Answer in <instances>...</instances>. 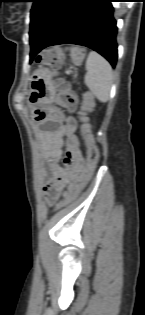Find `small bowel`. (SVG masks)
Returning a JSON list of instances; mask_svg holds the SVG:
<instances>
[{"instance_id":"small-bowel-1","label":"small bowel","mask_w":145,"mask_h":315,"mask_svg":"<svg viewBox=\"0 0 145 315\" xmlns=\"http://www.w3.org/2000/svg\"><path fill=\"white\" fill-rule=\"evenodd\" d=\"M74 130L75 120L67 118L61 127L44 134L42 138L43 161L40 179L44 196L49 203H54L61 195L65 197L66 193L84 177V158ZM64 140L68 152L64 159L65 167H62L59 161L62 157ZM90 177H85L86 184Z\"/></svg>"}]
</instances>
